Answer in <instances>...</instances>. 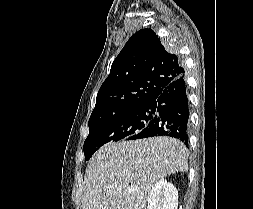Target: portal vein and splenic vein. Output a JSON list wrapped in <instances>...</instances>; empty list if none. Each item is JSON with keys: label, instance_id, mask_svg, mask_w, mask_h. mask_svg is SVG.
<instances>
[{"label": "portal vein and splenic vein", "instance_id": "obj_1", "mask_svg": "<svg viewBox=\"0 0 253 209\" xmlns=\"http://www.w3.org/2000/svg\"><path fill=\"white\" fill-rule=\"evenodd\" d=\"M128 193H133V192H135V189L134 188H127V190H126Z\"/></svg>", "mask_w": 253, "mask_h": 209}]
</instances>
